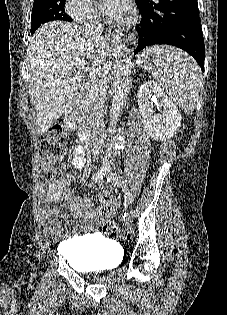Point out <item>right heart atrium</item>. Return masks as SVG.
<instances>
[{"mask_svg":"<svg viewBox=\"0 0 227 315\" xmlns=\"http://www.w3.org/2000/svg\"><path fill=\"white\" fill-rule=\"evenodd\" d=\"M65 12L84 25H91L99 18V12L92 0H66Z\"/></svg>","mask_w":227,"mask_h":315,"instance_id":"right-heart-atrium-1","label":"right heart atrium"}]
</instances>
